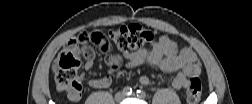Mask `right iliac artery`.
Masks as SVG:
<instances>
[{
  "mask_svg": "<svg viewBox=\"0 0 252 104\" xmlns=\"http://www.w3.org/2000/svg\"><path fill=\"white\" fill-rule=\"evenodd\" d=\"M123 93L125 94V95H127V96H129V95H131L132 94V88L131 87H125L124 89H123Z\"/></svg>",
  "mask_w": 252,
  "mask_h": 104,
  "instance_id": "82829eb1",
  "label": "right iliac artery"
}]
</instances>
